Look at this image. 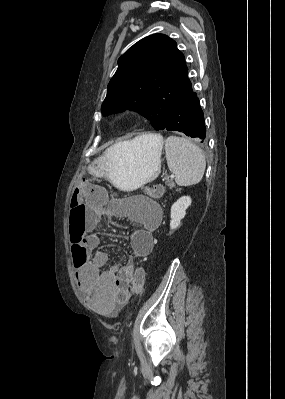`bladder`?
I'll return each instance as SVG.
<instances>
[{"label": "bladder", "instance_id": "obj_1", "mask_svg": "<svg viewBox=\"0 0 285 399\" xmlns=\"http://www.w3.org/2000/svg\"><path fill=\"white\" fill-rule=\"evenodd\" d=\"M130 199H132V200H138V201L142 202L144 205H146V206H147L148 208H150V209H153V208L156 207L154 201L151 200L150 198H147V197H141V196L135 197V196H133V197L130 198Z\"/></svg>", "mask_w": 285, "mask_h": 399}]
</instances>
